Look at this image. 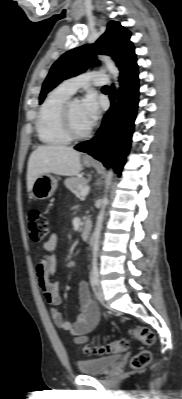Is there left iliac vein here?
I'll return each mask as SVG.
<instances>
[{
  "instance_id": "left-iliac-vein-1",
  "label": "left iliac vein",
  "mask_w": 182,
  "mask_h": 399,
  "mask_svg": "<svg viewBox=\"0 0 182 399\" xmlns=\"http://www.w3.org/2000/svg\"><path fill=\"white\" fill-rule=\"evenodd\" d=\"M97 294L101 300H105L103 287L100 284H98Z\"/></svg>"
}]
</instances>
